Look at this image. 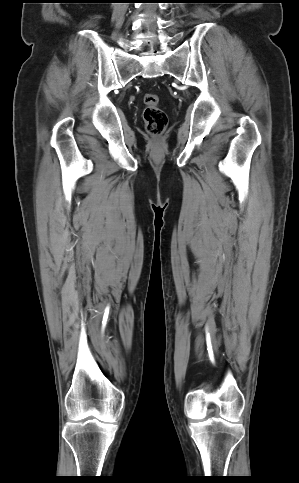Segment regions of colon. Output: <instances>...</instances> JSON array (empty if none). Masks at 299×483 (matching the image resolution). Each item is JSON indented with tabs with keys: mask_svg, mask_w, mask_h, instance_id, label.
Instances as JSON below:
<instances>
[{
	"mask_svg": "<svg viewBox=\"0 0 299 483\" xmlns=\"http://www.w3.org/2000/svg\"><path fill=\"white\" fill-rule=\"evenodd\" d=\"M144 104L143 119L147 132L153 136L163 134L168 124V118L165 111L159 106L158 95L154 93L146 94Z\"/></svg>",
	"mask_w": 299,
	"mask_h": 483,
	"instance_id": "5ec220e1",
	"label": "colon"
}]
</instances>
